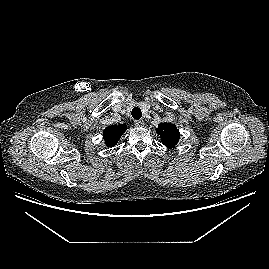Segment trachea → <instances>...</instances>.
Returning a JSON list of instances; mask_svg holds the SVG:
<instances>
[{"mask_svg":"<svg viewBox=\"0 0 269 269\" xmlns=\"http://www.w3.org/2000/svg\"><path fill=\"white\" fill-rule=\"evenodd\" d=\"M131 114H132V117L136 120H139L142 116L141 109L138 107L133 108Z\"/></svg>","mask_w":269,"mask_h":269,"instance_id":"trachea-1","label":"trachea"}]
</instances>
